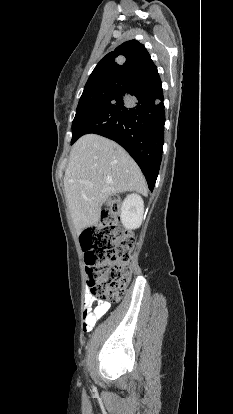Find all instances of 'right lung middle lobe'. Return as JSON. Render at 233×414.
Returning a JSON list of instances; mask_svg holds the SVG:
<instances>
[{
  "instance_id": "right-lung-middle-lobe-1",
  "label": "right lung middle lobe",
  "mask_w": 233,
  "mask_h": 414,
  "mask_svg": "<svg viewBox=\"0 0 233 414\" xmlns=\"http://www.w3.org/2000/svg\"><path fill=\"white\" fill-rule=\"evenodd\" d=\"M132 83L133 81L118 76H105L87 82L72 122L71 144L78 139L77 131L84 118L102 104L123 95Z\"/></svg>"
}]
</instances>
